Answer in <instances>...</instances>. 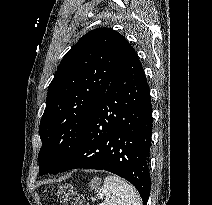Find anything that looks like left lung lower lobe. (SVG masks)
Returning a JSON list of instances; mask_svg holds the SVG:
<instances>
[{"label":"left lung lower lobe","mask_w":212,"mask_h":205,"mask_svg":"<svg viewBox=\"0 0 212 205\" xmlns=\"http://www.w3.org/2000/svg\"><path fill=\"white\" fill-rule=\"evenodd\" d=\"M151 135L149 85L139 58L130 47L61 172L87 168L115 173L132 183L147 205Z\"/></svg>","instance_id":"left-lung-lower-lobe-1"}]
</instances>
